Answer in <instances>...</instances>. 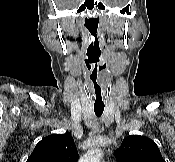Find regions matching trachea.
<instances>
[{
    "instance_id": "1",
    "label": "trachea",
    "mask_w": 175,
    "mask_h": 162,
    "mask_svg": "<svg viewBox=\"0 0 175 162\" xmlns=\"http://www.w3.org/2000/svg\"><path fill=\"white\" fill-rule=\"evenodd\" d=\"M104 107H94V112L97 117H100L103 114Z\"/></svg>"
}]
</instances>
